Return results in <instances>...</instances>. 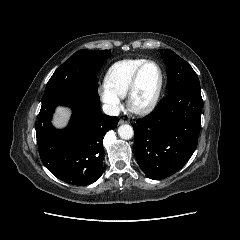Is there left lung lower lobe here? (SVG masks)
Wrapping results in <instances>:
<instances>
[{
    "mask_svg": "<svg viewBox=\"0 0 240 240\" xmlns=\"http://www.w3.org/2000/svg\"><path fill=\"white\" fill-rule=\"evenodd\" d=\"M201 111L200 89L182 88L133 125L134 155L148 178H166L190 159L198 143Z\"/></svg>",
    "mask_w": 240,
    "mask_h": 240,
    "instance_id": "0a47b994",
    "label": "left lung lower lobe"
}]
</instances>
